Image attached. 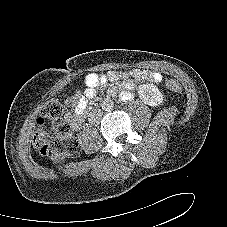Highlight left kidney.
<instances>
[{
    "instance_id": "1",
    "label": "left kidney",
    "mask_w": 227,
    "mask_h": 227,
    "mask_svg": "<svg viewBox=\"0 0 227 227\" xmlns=\"http://www.w3.org/2000/svg\"><path fill=\"white\" fill-rule=\"evenodd\" d=\"M140 99L147 105L157 106L163 103V95L154 84H142L138 87Z\"/></svg>"
}]
</instances>
